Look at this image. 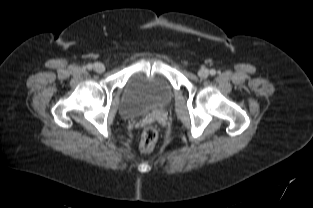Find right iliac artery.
<instances>
[{
    "instance_id": "obj_1",
    "label": "right iliac artery",
    "mask_w": 313,
    "mask_h": 208,
    "mask_svg": "<svg viewBox=\"0 0 313 208\" xmlns=\"http://www.w3.org/2000/svg\"><path fill=\"white\" fill-rule=\"evenodd\" d=\"M86 67H87V69L90 70V69H92L93 66H92V64H88Z\"/></svg>"
}]
</instances>
